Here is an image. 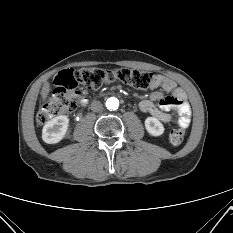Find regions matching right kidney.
I'll return each instance as SVG.
<instances>
[{
  "label": "right kidney",
  "instance_id": "1",
  "mask_svg": "<svg viewBox=\"0 0 233 233\" xmlns=\"http://www.w3.org/2000/svg\"><path fill=\"white\" fill-rule=\"evenodd\" d=\"M69 118L65 115L57 116L48 121L42 130V139L48 144L60 142L68 129Z\"/></svg>",
  "mask_w": 233,
  "mask_h": 233
}]
</instances>
